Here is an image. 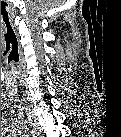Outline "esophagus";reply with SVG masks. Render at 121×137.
Masks as SVG:
<instances>
[{"instance_id":"1","label":"esophagus","mask_w":121,"mask_h":137,"mask_svg":"<svg viewBox=\"0 0 121 137\" xmlns=\"http://www.w3.org/2000/svg\"><path fill=\"white\" fill-rule=\"evenodd\" d=\"M30 124H31V126L33 127V130L36 132V129H37L36 121L30 120Z\"/></svg>"}]
</instances>
